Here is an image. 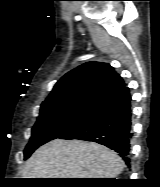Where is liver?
<instances>
[{"label":"liver","mask_w":160,"mask_h":187,"mask_svg":"<svg viewBox=\"0 0 160 187\" xmlns=\"http://www.w3.org/2000/svg\"><path fill=\"white\" fill-rule=\"evenodd\" d=\"M124 168L116 152L93 142L55 139L28 159L24 178H115Z\"/></svg>","instance_id":"1"}]
</instances>
